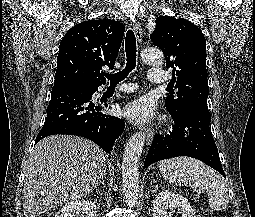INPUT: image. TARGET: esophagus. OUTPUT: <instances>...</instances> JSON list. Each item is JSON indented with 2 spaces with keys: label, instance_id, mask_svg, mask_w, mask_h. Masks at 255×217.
I'll list each match as a JSON object with an SVG mask.
<instances>
[{
  "label": "esophagus",
  "instance_id": "obj_1",
  "mask_svg": "<svg viewBox=\"0 0 255 217\" xmlns=\"http://www.w3.org/2000/svg\"><path fill=\"white\" fill-rule=\"evenodd\" d=\"M132 28H133V31H134L135 36L137 38V41L139 43H141L142 39H143V32H142V27H141L140 23L138 21L133 22L132 23ZM144 132H145V135H146L147 143L150 144L152 142L153 138H154L155 130L152 129V128L145 127Z\"/></svg>",
  "mask_w": 255,
  "mask_h": 217
}]
</instances>
